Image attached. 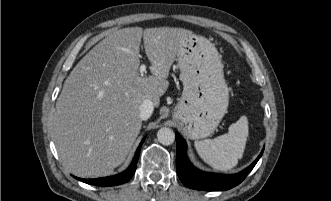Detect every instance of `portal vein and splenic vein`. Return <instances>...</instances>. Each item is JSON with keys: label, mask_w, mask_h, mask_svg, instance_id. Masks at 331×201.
<instances>
[{"label": "portal vein and splenic vein", "mask_w": 331, "mask_h": 201, "mask_svg": "<svg viewBox=\"0 0 331 201\" xmlns=\"http://www.w3.org/2000/svg\"><path fill=\"white\" fill-rule=\"evenodd\" d=\"M140 73L143 74L146 71V65L142 64L139 69Z\"/></svg>", "instance_id": "1"}]
</instances>
